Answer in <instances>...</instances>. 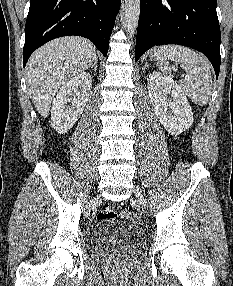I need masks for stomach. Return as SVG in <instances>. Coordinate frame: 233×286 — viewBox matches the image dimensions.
Listing matches in <instances>:
<instances>
[{
	"label": "stomach",
	"mask_w": 233,
	"mask_h": 286,
	"mask_svg": "<svg viewBox=\"0 0 233 286\" xmlns=\"http://www.w3.org/2000/svg\"><path fill=\"white\" fill-rule=\"evenodd\" d=\"M153 57H155V56H153V55L150 56L151 59H153Z\"/></svg>",
	"instance_id": "1"
}]
</instances>
